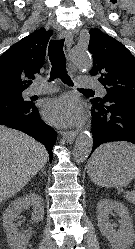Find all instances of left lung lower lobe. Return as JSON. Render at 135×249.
Returning <instances> with one entry per match:
<instances>
[{
  "mask_svg": "<svg viewBox=\"0 0 135 249\" xmlns=\"http://www.w3.org/2000/svg\"><path fill=\"white\" fill-rule=\"evenodd\" d=\"M92 152L111 141H129L135 144V100L109 98L105 103L91 101Z\"/></svg>",
  "mask_w": 135,
  "mask_h": 249,
  "instance_id": "left-lung-lower-lobe-1",
  "label": "left lung lower lobe"
}]
</instances>
